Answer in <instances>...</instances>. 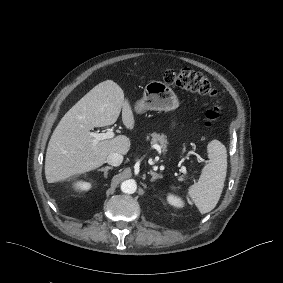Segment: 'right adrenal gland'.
Returning <instances> with one entry per match:
<instances>
[{
    "label": "right adrenal gland",
    "mask_w": 283,
    "mask_h": 283,
    "mask_svg": "<svg viewBox=\"0 0 283 283\" xmlns=\"http://www.w3.org/2000/svg\"><path fill=\"white\" fill-rule=\"evenodd\" d=\"M110 169L112 170L113 167L106 166V167H104V168L98 169V171L104 172V177L107 178V177H108V170H110Z\"/></svg>",
    "instance_id": "right-adrenal-gland-1"
}]
</instances>
